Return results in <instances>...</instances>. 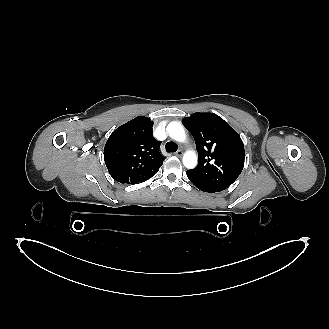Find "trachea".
I'll return each mask as SVG.
<instances>
[{"instance_id": "1", "label": "trachea", "mask_w": 329, "mask_h": 329, "mask_svg": "<svg viewBox=\"0 0 329 329\" xmlns=\"http://www.w3.org/2000/svg\"><path fill=\"white\" fill-rule=\"evenodd\" d=\"M165 148L167 152H176L178 149L177 145L173 142H167Z\"/></svg>"}]
</instances>
